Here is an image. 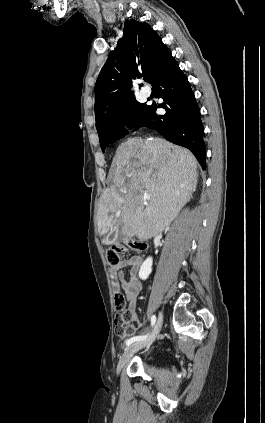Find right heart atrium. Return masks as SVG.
Wrapping results in <instances>:
<instances>
[{
  "label": "right heart atrium",
  "mask_w": 265,
  "mask_h": 423,
  "mask_svg": "<svg viewBox=\"0 0 265 423\" xmlns=\"http://www.w3.org/2000/svg\"><path fill=\"white\" fill-rule=\"evenodd\" d=\"M120 120L122 125L129 126L134 120L133 113L131 111H124L121 114Z\"/></svg>",
  "instance_id": "obj_1"
}]
</instances>
